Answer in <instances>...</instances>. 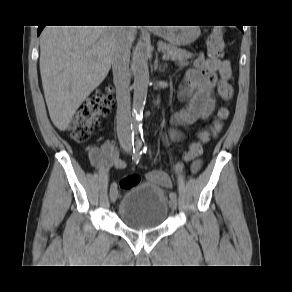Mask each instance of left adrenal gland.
<instances>
[{
    "label": "left adrenal gland",
    "mask_w": 292,
    "mask_h": 292,
    "mask_svg": "<svg viewBox=\"0 0 292 292\" xmlns=\"http://www.w3.org/2000/svg\"><path fill=\"white\" fill-rule=\"evenodd\" d=\"M154 67L155 69H158L160 72H164L167 65L166 64H164L163 66L159 65L158 60L156 59Z\"/></svg>",
    "instance_id": "obj_1"
}]
</instances>
